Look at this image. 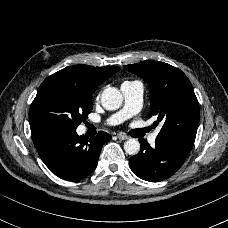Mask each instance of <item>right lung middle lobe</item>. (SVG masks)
<instances>
[{
  "label": "right lung middle lobe",
  "instance_id": "dd1d6c3e",
  "mask_svg": "<svg viewBox=\"0 0 228 228\" xmlns=\"http://www.w3.org/2000/svg\"><path fill=\"white\" fill-rule=\"evenodd\" d=\"M92 93L75 81L49 76L29 111L31 135L56 129L76 130L92 111Z\"/></svg>",
  "mask_w": 228,
  "mask_h": 228
}]
</instances>
